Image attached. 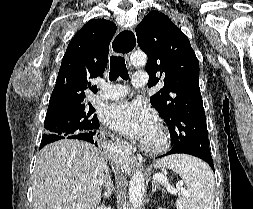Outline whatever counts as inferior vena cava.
Instances as JSON below:
<instances>
[{
	"mask_svg": "<svg viewBox=\"0 0 253 209\" xmlns=\"http://www.w3.org/2000/svg\"><path fill=\"white\" fill-rule=\"evenodd\" d=\"M108 182H109L108 177L105 174L104 180H103V184H104V187H105V194H108V192H109Z\"/></svg>",
	"mask_w": 253,
	"mask_h": 209,
	"instance_id": "inferior-vena-cava-1",
	"label": "inferior vena cava"
}]
</instances>
